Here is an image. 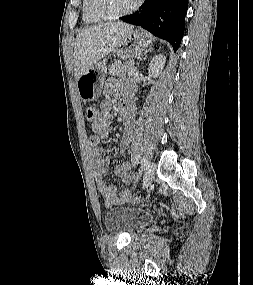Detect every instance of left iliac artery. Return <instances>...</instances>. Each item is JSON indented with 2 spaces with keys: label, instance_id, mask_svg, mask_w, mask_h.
Segmentation results:
<instances>
[{
  "label": "left iliac artery",
  "instance_id": "1",
  "mask_svg": "<svg viewBox=\"0 0 253 285\" xmlns=\"http://www.w3.org/2000/svg\"><path fill=\"white\" fill-rule=\"evenodd\" d=\"M146 165H147V157L144 156V157L142 158V161H141V167H140V170H139L137 179L135 180L133 186H135V184H136V182H137V180H138V178H139V174H141V172L143 171V169L145 168Z\"/></svg>",
  "mask_w": 253,
  "mask_h": 285
}]
</instances>
